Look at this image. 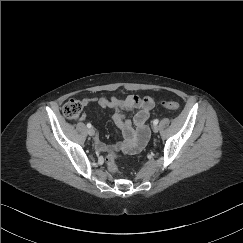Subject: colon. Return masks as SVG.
I'll list each match as a JSON object with an SVG mask.
<instances>
[{
  "mask_svg": "<svg viewBox=\"0 0 243 243\" xmlns=\"http://www.w3.org/2000/svg\"><path fill=\"white\" fill-rule=\"evenodd\" d=\"M163 107L168 109V110H172V111H177L180 108V104L177 101H173V100H166L162 103ZM82 110V104L80 101L78 100H68L62 108V112L63 115L66 118L69 119H75L77 118V116L80 114ZM116 158L117 155L114 153H111L107 156V165L109 170H111L112 172H116L118 170L117 168V164H116Z\"/></svg>",
  "mask_w": 243,
  "mask_h": 243,
  "instance_id": "5ec220e1",
  "label": "colon"
}]
</instances>
